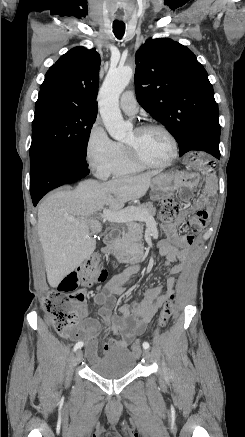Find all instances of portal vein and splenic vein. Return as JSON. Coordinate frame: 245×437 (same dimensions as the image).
<instances>
[{
	"label": "portal vein and splenic vein",
	"mask_w": 245,
	"mask_h": 437,
	"mask_svg": "<svg viewBox=\"0 0 245 437\" xmlns=\"http://www.w3.org/2000/svg\"><path fill=\"white\" fill-rule=\"evenodd\" d=\"M136 216H137L136 210L133 208L128 210H121L118 212H113L107 208H104L103 214L100 215V217L104 221L115 222V223L127 222Z\"/></svg>",
	"instance_id": "1"
}]
</instances>
